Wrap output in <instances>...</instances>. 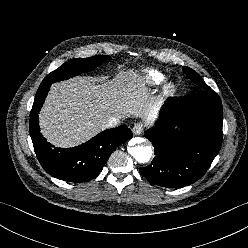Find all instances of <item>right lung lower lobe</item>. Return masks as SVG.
Segmentation results:
<instances>
[{
	"instance_id": "98d812e1",
	"label": "right lung lower lobe",
	"mask_w": 248,
	"mask_h": 248,
	"mask_svg": "<svg viewBox=\"0 0 248 248\" xmlns=\"http://www.w3.org/2000/svg\"><path fill=\"white\" fill-rule=\"evenodd\" d=\"M51 84H41L30 114V135L37 158L51 176L72 183L93 179L99 174L112 151L129 140L132 132L126 125L101 132L73 148H53L40 133L38 113Z\"/></svg>"
}]
</instances>
